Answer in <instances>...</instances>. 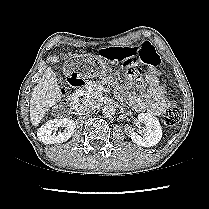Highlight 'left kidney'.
I'll return each instance as SVG.
<instances>
[{"label":"left kidney","instance_id":"obj_1","mask_svg":"<svg viewBox=\"0 0 209 209\" xmlns=\"http://www.w3.org/2000/svg\"><path fill=\"white\" fill-rule=\"evenodd\" d=\"M138 121L145 124L143 129V135L132 131L129 127H125V132L128 133V136L131 140L143 147H151L158 144L162 137V127L158 119L149 113H141L138 115Z\"/></svg>","mask_w":209,"mask_h":209}]
</instances>
